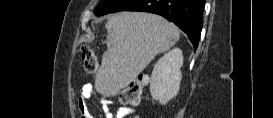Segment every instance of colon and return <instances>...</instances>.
Returning a JSON list of instances; mask_svg holds the SVG:
<instances>
[{
  "instance_id": "5ec220e1",
  "label": "colon",
  "mask_w": 273,
  "mask_h": 118,
  "mask_svg": "<svg viewBox=\"0 0 273 118\" xmlns=\"http://www.w3.org/2000/svg\"><path fill=\"white\" fill-rule=\"evenodd\" d=\"M80 54L83 60L84 69L87 74H93L97 69V58L92 48L87 44L80 46ZM144 83L141 79H136L130 86L119 94V100L123 105H135L140 102Z\"/></svg>"
}]
</instances>
